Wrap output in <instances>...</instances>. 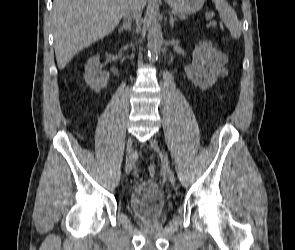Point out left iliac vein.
<instances>
[{"label": "left iliac vein", "instance_id": "left-iliac-vein-1", "mask_svg": "<svg viewBox=\"0 0 295 250\" xmlns=\"http://www.w3.org/2000/svg\"><path fill=\"white\" fill-rule=\"evenodd\" d=\"M149 143H150V146L153 148V150L162 158L163 168L167 174L168 180L171 184H174L175 183V175L168 164L167 154L161 150L159 143L155 138H151Z\"/></svg>", "mask_w": 295, "mask_h": 250}]
</instances>
